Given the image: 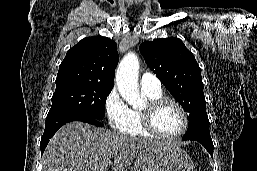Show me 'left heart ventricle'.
<instances>
[{"instance_id": "left-heart-ventricle-1", "label": "left heart ventricle", "mask_w": 257, "mask_h": 171, "mask_svg": "<svg viewBox=\"0 0 257 171\" xmlns=\"http://www.w3.org/2000/svg\"><path fill=\"white\" fill-rule=\"evenodd\" d=\"M154 125L159 132L166 135H173L181 130L183 119L176 107L166 104L156 111Z\"/></svg>"}]
</instances>
